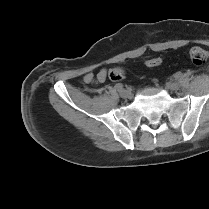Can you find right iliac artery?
<instances>
[{"mask_svg":"<svg viewBox=\"0 0 209 209\" xmlns=\"http://www.w3.org/2000/svg\"><path fill=\"white\" fill-rule=\"evenodd\" d=\"M115 89L120 91V90L123 89V85L121 83H118V84L115 85Z\"/></svg>","mask_w":209,"mask_h":209,"instance_id":"obj_1","label":"right iliac artery"}]
</instances>
